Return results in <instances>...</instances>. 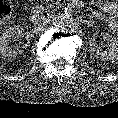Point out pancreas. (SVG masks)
Here are the masks:
<instances>
[{
    "mask_svg": "<svg viewBox=\"0 0 118 118\" xmlns=\"http://www.w3.org/2000/svg\"><path fill=\"white\" fill-rule=\"evenodd\" d=\"M49 9H51L52 8V5H49V7H48Z\"/></svg>",
    "mask_w": 118,
    "mask_h": 118,
    "instance_id": "pancreas-1",
    "label": "pancreas"
}]
</instances>
